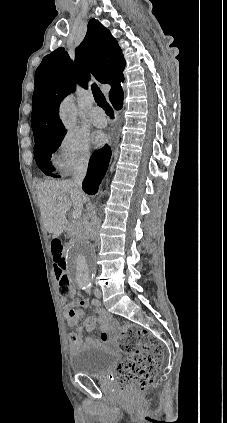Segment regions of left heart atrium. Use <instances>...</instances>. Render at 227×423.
<instances>
[{
  "mask_svg": "<svg viewBox=\"0 0 227 423\" xmlns=\"http://www.w3.org/2000/svg\"><path fill=\"white\" fill-rule=\"evenodd\" d=\"M93 142L96 146H100L105 142V135L102 132H96L93 135Z\"/></svg>",
  "mask_w": 227,
  "mask_h": 423,
  "instance_id": "left-heart-atrium-1",
  "label": "left heart atrium"
}]
</instances>
